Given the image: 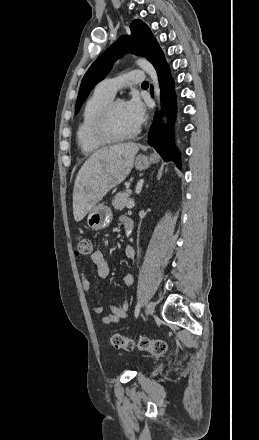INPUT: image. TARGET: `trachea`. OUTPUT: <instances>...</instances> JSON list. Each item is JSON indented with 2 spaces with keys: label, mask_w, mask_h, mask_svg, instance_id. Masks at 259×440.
Instances as JSON below:
<instances>
[{
  "label": "trachea",
  "mask_w": 259,
  "mask_h": 440,
  "mask_svg": "<svg viewBox=\"0 0 259 440\" xmlns=\"http://www.w3.org/2000/svg\"><path fill=\"white\" fill-rule=\"evenodd\" d=\"M149 83L147 82V81H144L143 83H142V85H148Z\"/></svg>",
  "instance_id": "1"
}]
</instances>
